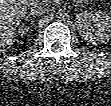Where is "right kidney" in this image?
<instances>
[{
    "instance_id": "obj_1",
    "label": "right kidney",
    "mask_w": 111,
    "mask_h": 106,
    "mask_svg": "<svg viewBox=\"0 0 111 106\" xmlns=\"http://www.w3.org/2000/svg\"><path fill=\"white\" fill-rule=\"evenodd\" d=\"M28 29H29V28H26V27H24V26H20V27H19V30H18V33H19L21 36H23V35L26 34V31H28Z\"/></svg>"
}]
</instances>
